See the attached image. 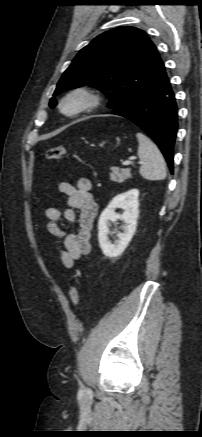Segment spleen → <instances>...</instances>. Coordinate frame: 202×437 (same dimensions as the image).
<instances>
[{
	"mask_svg": "<svg viewBox=\"0 0 202 437\" xmlns=\"http://www.w3.org/2000/svg\"><path fill=\"white\" fill-rule=\"evenodd\" d=\"M138 156L143 162L140 174L147 180H163L166 178V163L158 147L144 134L138 132Z\"/></svg>",
	"mask_w": 202,
	"mask_h": 437,
	"instance_id": "3e777b00",
	"label": "spleen"
}]
</instances>
